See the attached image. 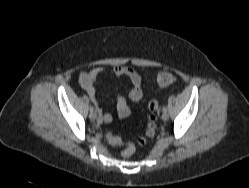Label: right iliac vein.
Listing matches in <instances>:
<instances>
[{
    "label": "right iliac vein",
    "instance_id": "right-iliac-vein-1",
    "mask_svg": "<svg viewBox=\"0 0 249 188\" xmlns=\"http://www.w3.org/2000/svg\"><path fill=\"white\" fill-rule=\"evenodd\" d=\"M89 118H90L91 120H95V119L97 118L96 112H91L90 115H89Z\"/></svg>",
    "mask_w": 249,
    "mask_h": 188
}]
</instances>
